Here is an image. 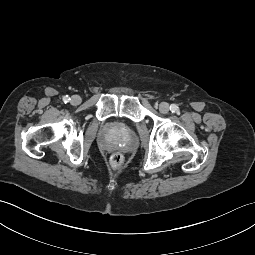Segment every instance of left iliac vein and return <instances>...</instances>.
I'll use <instances>...</instances> for the list:
<instances>
[{
	"mask_svg": "<svg viewBox=\"0 0 255 255\" xmlns=\"http://www.w3.org/2000/svg\"><path fill=\"white\" fill-rule=\"evenodd\" d=\"M159 110L162 114H167L170 110L169 104L167 102H161L159 105Z\"/></svg>",
	"mask_w": 255,
	"mask_h": 255,
	"instance_id": "4c4485c4",
	"label": "left iliac vein"
}]
</instances>
